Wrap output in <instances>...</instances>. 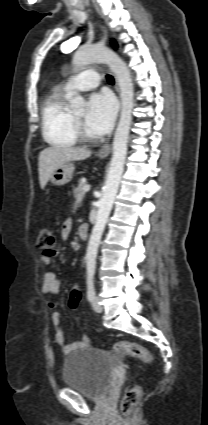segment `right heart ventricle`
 <instances>
[{
  "instance_id": "right-heart-ventricle-1",
  "label": "right heart ventricle",
  "mask_w": 208,
  "mask_h": 425,
  "mask_svg": "<svg viewBox=\"0 0 208 425\" xmlns=\"http://www.w3.org/2000/svg\"><path fill=\"white\" fill-rule=\"evenodd\" d=\"M68 91L53 90L41 107V128L45 141L54 147H73L77 138L73 130L72 113L67 107Z\"/></svg>"
}]
</instances>
